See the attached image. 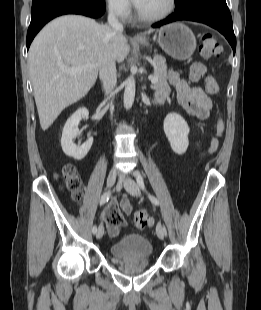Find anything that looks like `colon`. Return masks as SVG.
I'll list each match as a JSON object with an SVG mask.
<instances>
[{"label": "colon", "instance_id": "1", "mask_svg": "<svg viewBox=\"0 0 261 310\" xmlns=\"http://www.w3.org/2000/svg\"><path fill=\"white\" fill-rule=\"evenodd\" d=\"M200 53L203 57L218 56L222 47L213 34L204 32L201 35L199 46ZM206 73V66L202 62H194L190 66V79L198 81ZM206 91L210 95H217L219 92L218 84L214 77L209 76L206 79ZM223 123L221 120L217 123L216 132L220 136L223 133ZM60 177L63 179L64 187L69 191L75 200H79L82 196L81 193V180L77 176L76 168L72 164L63 166ZM119 200H109L105 206V214L103 216L107 227L113 233L117 232L121 227H127V220H124L122 211L120 209ZM133 223L139 229H144L152 225L153 220L145 211H137L133 215Z\"/></svg>", "mask_w": 261, "mask_h": 310}]
</instances>
